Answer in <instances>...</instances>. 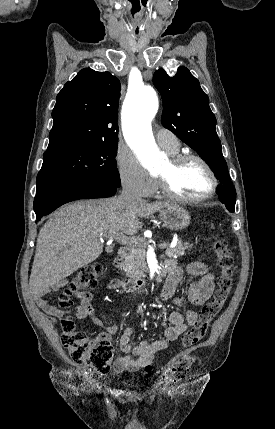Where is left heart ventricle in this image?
Returning <instances> with one entry per match:
<instances>
[{
	"mask_svg": "<svg viewBox=\"0 0 275 429\" xmlns=\"http://www.w3.org/2000/svg\"><path fill=\"white\" fill-rule=\"evenodd\" d=\"M157 175L166 178L172 189L189 198L205 196L211 188V180L204 167L197 161H189L179 168H173L170 160L162 165Z\"/></svg>",
	"mask_w": 275,
	"mask_h": 429,
	"instance_id": "1",
	"label": "left heart ventricle"
}]
</instances>
